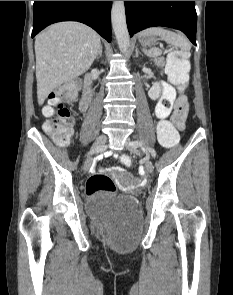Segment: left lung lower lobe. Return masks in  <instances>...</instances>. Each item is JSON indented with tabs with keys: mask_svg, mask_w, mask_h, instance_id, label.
<instances>
[{
	"mask_svg": "<svg viewBox=\"0 0 233 295\" xmlns=\"http://www.w3.org/2000/svg\"><path fill=\"white\" fill-rule=\"evenodd\" d=\"M125 12L130 36L148 27L165 26L181 30L196 45L194 1H125Z\"/></svg>",
	"mask_w": 233,
	"mask_h": 295,
	"instance_id": "left-lung-lower-lobe-1",
	"label": "left lung lower lobe"
}]
</instances>
